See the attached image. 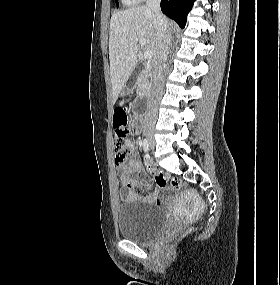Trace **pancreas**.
Instances as JSON below:
<instances>
[{"mask_svg":"<svg viewBox=\"0 0 280 285\" xmlns=\"http://www.w3.org/2000/svg\"><path fill=\"white\" fill-rule=\"evenodd\" d=\"M150 88V78L148 73H143L138 78L137 82V94H145Z\"/></svg>","mask_w":280,"mask_h":285,"instance_id":"1","label":"pancreas"}]
</instances>
